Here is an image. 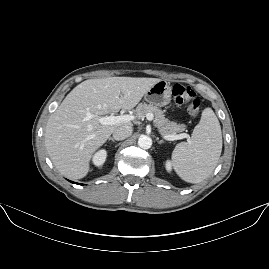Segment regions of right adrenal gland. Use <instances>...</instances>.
<instances>
[{
	"mask_svg": "<svg viewBox=\"0 0 269 269\" xmlns=\"http://www.w3.org/2000/svg\"><path fill=\"white\" fill-rule=\"evenodd\" d=\"M109 141L115 142V139L113 137L108 138Z\"/></svg>",
	"mask_w": 269,
	"mask_h": 269,
	"instance_id": "1",
	"label": "right adrenal gland"
}]
</instances>
